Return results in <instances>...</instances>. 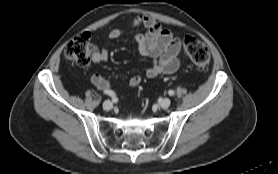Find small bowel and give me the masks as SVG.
<instances>
[{
    "instance_id": "small-bowel-1",
    "label": "small bowel",
    "mask_w": 278,
    "mask_h": 174,
    "mask_svg": "<svg viewBox=\"0 0 278 174\" xmlns=\"http://www.w3.org/2000/svg\"><path fill=\"white\" fill-rule=\"evenodd\" d=\"M133 27H144L146 33H138L135 35V42L139 53L152 59V64L146 70L148 78H155L160 74H172L180 66L178 58L181 51L180 40L169 30L164 29L161 24L153 17L140 15L132 21ZM123 35L121 29L115 28L109 32V39L116 40ZM109 58L108 48H102L92 54L94 63L107 61ZM142 78L140 75H134L129 79L128 87L134 88L138 86ZM92 84L99 90L112 91L111 84L105 77L94 74L91 77ZM114 93V92H113Z\"/></svg>"
}]
</instances>
